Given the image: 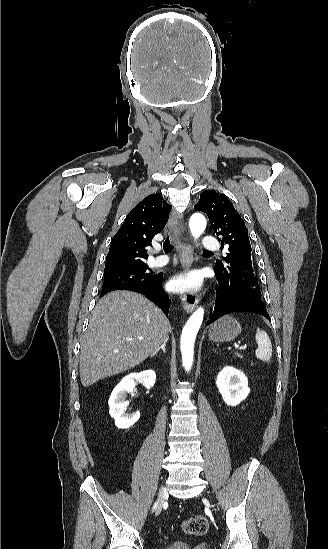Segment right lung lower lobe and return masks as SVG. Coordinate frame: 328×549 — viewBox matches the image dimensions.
<instances>
[{"label":"right lung lower lobe","instance_id":"98d812e1","mask_svg":"<svg viewBox=\"0 0 328 549\" xmlns=\"http://www.w3.org/2000/svg\"><path fill=\"white\" fill-rule=\"evenodd\" d=\"M161 279L162 275H159L157 279L147 287H134L128 290L146 295L150 300L156 302L163 310V312L168 316V311L170 307L169 297L165 293L161 285Z\"/></svg>","mask_w":328,"mask_h":549}]
</instances>
